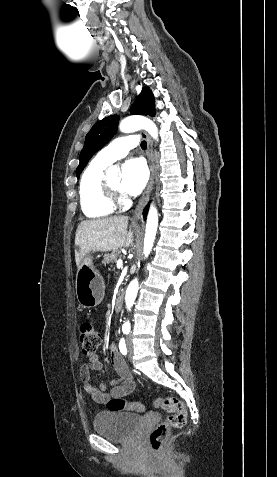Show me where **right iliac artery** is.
Segmentation results:
<instances>
[{
  "mask_svg": "<svg viewBox=\"0 0 277 477\" xmlns=\"http://www.w3.org/2000/svg\"><path fill=\"white\" fill-rule=\"evenodd\" d=\"M119 349H120V351H121V353H122L123 355H126V354H127V349H126V346H125V340H124V338H122V339L120 340Z\"/></svg>",
  "mask_w": 277,
  "mask_h": 477,
  "instance_id": "right-iliac-artery-1",
  "label": "right iliac artery"
}]
</instances>
